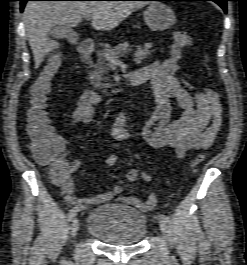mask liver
<instances>
[{"instance_id":"6515ba94","label":"liver","mask_w":247,"mask_h":265,"mask_svg":"<svg viewBox=\"0 0 247 265\" xmlns=\"http://www.w3.org/2000/svg\"><path fill=\"white\" fill-rule=\"evenodd\" d=\"M146 5L142 1H29L23 12L26 36L37 68L44 57L60 44L48 37L56 26L76 27L83 17L92 16L96 30L110 31L133 11Z\"/></svg>"}]
</instances>
